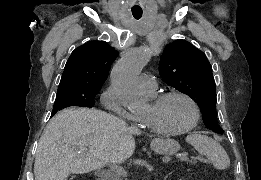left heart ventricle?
I'll use <instances>...</instances> for the list:
<instances>
[{
	"instance_id": "1",
	"label": "left heart ventricle",
	"mask_w": 261,
	"mask_h": 180,
	"mask_svg": "<svg viewBox=\"0 0 261 180\" xmlns=\"http://www.w3.org/2000/svg\"><path fill=\"white\" fill-rule=\"evenodd\" d=\"M143 96L147 99V104L134 114L158 136L179 133L190 124L193 109L184 98L173 96L153 105L148 96Z\"/></svg>"
}]
</instances>
